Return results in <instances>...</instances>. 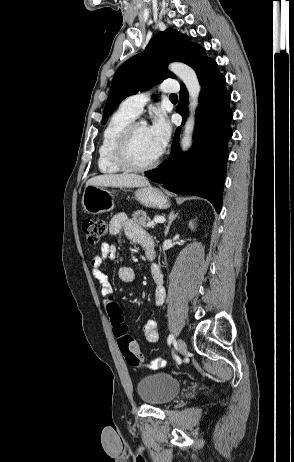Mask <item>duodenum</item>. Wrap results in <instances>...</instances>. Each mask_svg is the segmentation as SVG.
I'll list each match as a JSON object with an SVG mask.
<instances>
[{
  "label": "duodenum",
  "instance_id": "duodenum-1",
  "mask_svg": "<svg viewBox=\"0 0 294 462\" xmlns=\"http://www.w3.org/2000/svg\"><path fill=\"white\" fill-rule=\"evenodd\" d=\"M144 250H145V254H146L148 259H152L154 257L153 246H151L149 244H146V245H144Z\"/></svg>",
  "mask_w": 294,
  "mask_h": 462
}]
</instances>
